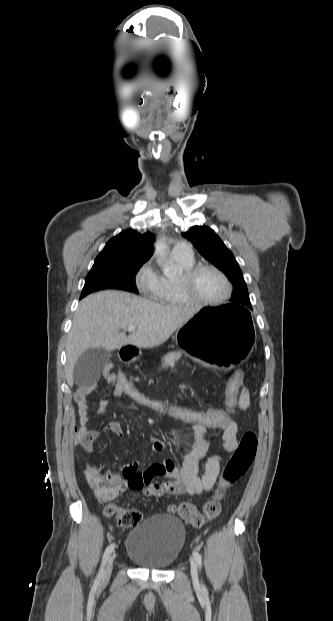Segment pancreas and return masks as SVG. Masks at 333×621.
<instances>
[{"instance_id": "1", "label": "pancreas", "mask_w": 333, "mask_h": 621, "mask_svg": "<svg viewBox=\"0 0 333 621\" xmlns=\"http://www.w3.org/2000/svg\"><path fill=\"white\" fill-rule=\"evenodd\" d=\"M182 355V352H168L165 356L162 357V367L165 368L167 366L174 367L175 361L178 360Z\"/></svg>"}]
</instances>
